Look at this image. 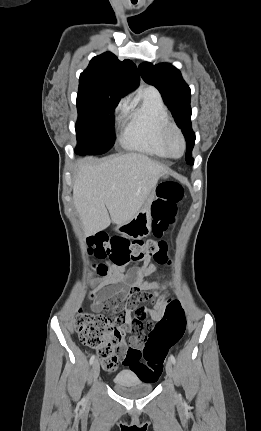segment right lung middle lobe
Here are the masks:
<instances>
[{
	"instance_id": "right-lung-middle-lobe-1",
	"label": "right lung middle lobe",
	"mask_w": 261,
	"mask_h": 431,
	"mask_svg": "<svg viewBox=\"0 0 261 431\" xmlns=\"http://www.w3.org/2000/svg\"><path fill=\"white\" fill-rule=\"evenodd\" d=\"M122 97L114 93L79 87L76 154L98 155L115 142L114 110Z\"/></svg>"
}]
</instances>
